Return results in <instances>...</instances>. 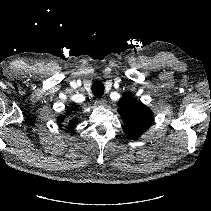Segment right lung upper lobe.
<instances>
[{"label":"right lung upper lobe","mask_w":211,"mask_h":211,"mask_svg":"<svg viewBox=\"0 0 211 211\" xmlns=\"http://www.w3.org/2000/svg\"><path fill=\"white\" fill-rule=\"evenodd\" d=\"M71 113V109H68L66 114L65 115H60L58 118H57V122L60 124V123H63L65 121V118L66 116H69ZM76 120L75 121H70L69 124H68V127H67V130L72 132L73 131V128L76 126Z\"/></svg>","instance_id":"obj_1"}]
</instances>
